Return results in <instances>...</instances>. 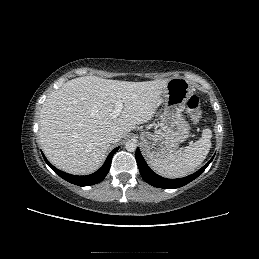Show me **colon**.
Here are the masks:
<instances>
[{
  "instance_id": "5ec220e1",
  "label": "colon",
  "mask_w": 259,
  "mask_h": 259,
  "mask_svg": "<svg viewBox=\"0 0 259 259\" xmlns=\"http://www.w3.org/2000/svg\"><path fill=\"white\" fill-rule=\"evenodd\" d=\"M187 114L191 117L192 121L197 124L201 119L200 100L197 96L192 95L186 103Z\"/></svg>"
}]
</instances>
